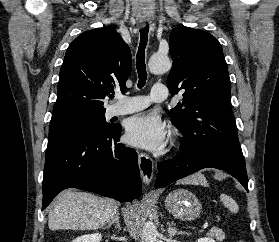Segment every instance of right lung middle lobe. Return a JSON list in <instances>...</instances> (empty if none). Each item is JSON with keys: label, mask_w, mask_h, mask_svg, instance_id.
Returning a JSON list of instances; mask_svg holds the SVG:
<instances>
[{"label": "right lung middle lobe", "mask_w": 279, "mask_h": 242, "mask_svg": "<svg viewBox=\"0 0 279 242\" xmlns=\"http://www.w3.org/2000/svg\"><path fill=\"white\" fill-rule=\"evenodd\" d=\"M105 111L78 110L52 115L48 146L79 137L96 136L113 128L105 121Z\"/></svg>", "instance_id": "dd1d6c3e"}]
</instances>
